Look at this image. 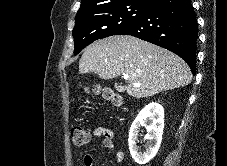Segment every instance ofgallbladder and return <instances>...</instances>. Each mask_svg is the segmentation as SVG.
Here are the masks:
<instances>
[{
	"mask_svg": "<svg viewBox=\"0 0 227 166\" xmlns=\"http://www.w3.org/2000/svg\"><path fill=\"white\" fill-rule=\"evenodd\" d=\"M118 89H119V90H124V88H123V87H121V86H118Z\"/></svg>",
	"mask_w": 227,
	"mask_h": 166,
	"instance_id": "bac80fb5",
	"label": "gallbladder"
}]
</instances>
